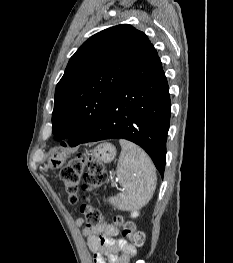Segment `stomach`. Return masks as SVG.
Masks as SVG:
<instances>
[{
    "label": "stomach",
    "instance_id": "obj_1",
    "mask_svg": "<svg viewBox=\"0 0 233 263\" xmlns=\"http://www.w3.org/2000/svg\"><path fill=\"white\" fill-rule=\"evenodd\" d=\"M92 156L105 163L112 161L116 156V149L110 143H103L92 150ZM66 156L58 149H53L48 154V166L51 169L61 167L65 162Z\"/></svg>",
    "mask_w": 233,
    "mask_h": 263
}]
</instances>
